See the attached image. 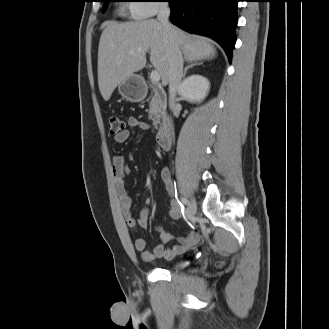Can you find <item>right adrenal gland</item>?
Returning <instances> with one entry per match:
<instances>
[{
    "label": "right adrenal gland",
    "mask_w": 329,
    "mask_h": 329,
    "mask_svg": "<svg viewBox=\"0 0 329 329\" xmlns=\"http://www.w3.org/2000/svg\"><path fill=\"white\" fill-rule=\"evenodd\" d=\"M187 61H188V60H187ZM202 64H203V62H191L190 65H187V66L185 67V69H184V73H183V78L186 77V73H187V71H188L189 68H192V67L197 66V65H202Z\"/></svg>",
    "instance_id": "obj_1"
}]
</instances>
